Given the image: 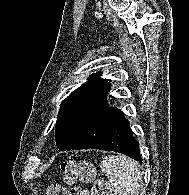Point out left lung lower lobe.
Returning a JSON list of instances; mask_svg holds the SVG:
<instances>
[{"instance_id": "obj_1", "label": "left lung lower lobe", "mask_w": 189, "mask_h": 195, "mask_svg": "<svg viewBox=\"0 0 189 195\" xmlns=\"http://www.w3.org/2000/svg\"><path fill=\"white\" fill-rule=\"evenodd\" d=\"M57 147L60 151L88 148L115 151L142 163L139 143L133 137L129 122L119 109L110 108L108 103Z\"/></svg>"}]
</instances>
